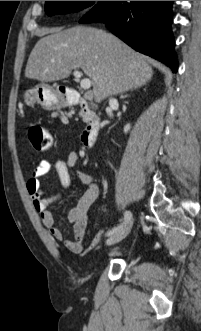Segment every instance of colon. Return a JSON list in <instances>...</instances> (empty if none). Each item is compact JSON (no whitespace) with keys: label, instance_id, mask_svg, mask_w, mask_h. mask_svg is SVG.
Returning a JSON list of instances; mask_svg holds the SVG:
<instances>
[{"label":"colon","instance_id":"obj_1","mask_svg":"<svg viewBox=\"0 0 201 331\" xmlns=\"http://www.w3.org/2000/svg\"><path fill=\"white\" fill-rule=\"evenodd\" d=\"M28 138L33 148L38 152L48 150L52 145V135L42 124H32L28 130Z\"/></svg>","mask_w":201,"mask_h":331}]
</instances>
